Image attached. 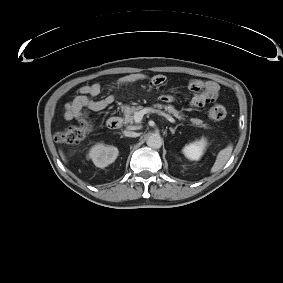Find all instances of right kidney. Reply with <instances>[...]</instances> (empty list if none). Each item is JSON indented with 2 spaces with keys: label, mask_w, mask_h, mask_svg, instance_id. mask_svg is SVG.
<instances>
[{
  "label": "right kidney",
  "mask_w": 283,
  "mask_h": 283,
  "mask_svg": "<svg viewBox=\"0 0 283 283\" xmlns=\"http://www.w3.org/2000/svg\"><path fill=\"white\" fill-rule=\"evenodd\" d=\"M118 149L114 146H105L102 143L94 145L89 152L95 166L104 168L113 163L118 156Z\"/></svg>",
  "instance_id": "ca27d5eb"
}]
</instances>
